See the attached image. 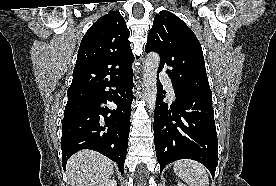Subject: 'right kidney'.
I'll list each match as a JSON object with an SVG mask.
<instances>
[{
    "label": "right kidney",
    "mask_w": 276,
    "mask_h": 186,
    "mask_svg": "<svg viewBox=\"0 0 276 186\" xmlns=\"http://www.w3.org/2000/svg\"><path fill=\"white\" fill-rule=\"evenodd\" d=\"M102 186H117V182L115 179H111L109 181H107L106 183H104V185Z\"/></svg>",
    "instance_id": "ca27d5eb"
}]
</instances>
